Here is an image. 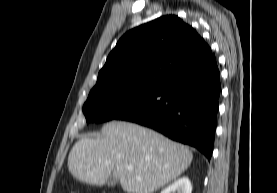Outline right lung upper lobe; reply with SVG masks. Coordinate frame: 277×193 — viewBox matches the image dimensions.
<instances>
[{"label": "right lung upper lobe", "mask_w": 277, "mask_h": 193, "mask_svg": "<svg viewBox=\"0 0 277 193\" xmlns=\"http://www.w3.org/2000/svg\"><path fill=\"white\" fill-rule=\"evenodd\" d=\"M212 55L195 29L178 16H162L121 37L90 92L125 86L159 88Z\"/></svg>", "instance_id": "cb5924a9"}]
</instances>
